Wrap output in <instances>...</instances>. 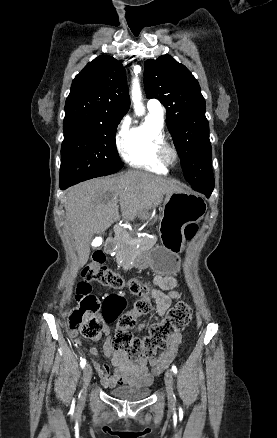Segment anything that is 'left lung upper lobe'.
<instances>
[{"label": "left lung upper lobe", "instance_id": "left-lung-upper-lobe-1", "mask_svg": "<svg viewBox=\"0 0 277 438\" xmlns=\"http://www.w3.org/2000/svg\"><path fill=\"white\" fill-rule=\"evenodd\" d=\"M145 92L167 109L166 122L177 148L185 179L192 189L213 191L209 123L205 100L191 72L163 55L145 61Z\"/></svg>", "mask_w": 277, "mask_h": 438}]
</instances>
